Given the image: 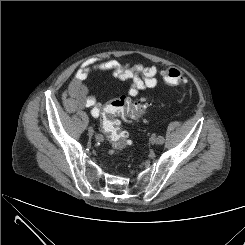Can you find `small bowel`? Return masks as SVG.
<instances>
[{
    "label": "small bowel",
    "mask_w": 245,
    "mask_h": 245,
    "mask_svg": "<svg viewBox=\"0 0 245 245\" xmlns=\"http://www.w3.org/2000/svg\"><path fill=\"white\" fill-rule=\"evenodd\" d=\"M92 72H109L120 81H131L128 88L130 96L155 88L158 85V67L143 64H122L113 59H90L75 72L68 89L63 93L64 107L69 112L91 108L94 117L101 113L102 104L94 95L89 94L86 81Z\"/></svg>",
    "instance_id": "c3829d8e"
}]
</instances>
